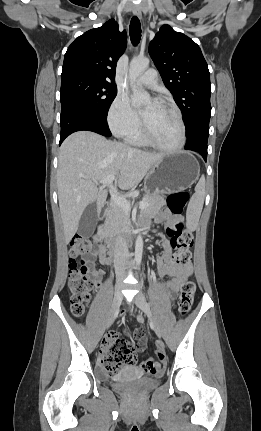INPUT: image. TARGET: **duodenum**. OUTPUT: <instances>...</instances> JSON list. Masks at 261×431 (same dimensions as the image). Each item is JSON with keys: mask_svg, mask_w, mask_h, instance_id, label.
I'll return each instance as SVG.
<instances>
[{"mask_svg": "<svg viewBox=\"0 0 261 431\" xmlns=\"http://www.w3.org/2000/svg\"><path fill=\"white\" fill-rule=\"evenodd\" d=\"M137 233V229L130 228L124 234V241L126 243H130L133 241L135 234ZM99 239L104 243V246L107 248L109 253V258L112 262V255L116 252L117 246L120 244L119 239H111V237L105 232L104 227L100 225L99 227Z\"/></svg>", "mask_w": 261, "mask_h": 431, "instance_id": "410a0bca", "label": "duodenum"}]
</instances>
